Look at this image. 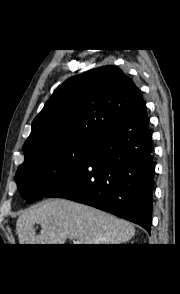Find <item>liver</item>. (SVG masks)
<instances>
[{"mask_svg": "<svg viewBox=\"0 0 180 294\" xmlns=\"http://www.w3.org/2000/svg\"><path fill=\"white\" fill-rule=\"evenodd\" d=\"M41 225L36 234L34 225ZM16 230L19 244H122L135 235L134 226L109 213L66 199L47 200L24 211Z\"/></svg>", "mask_w": 180, "mask_h": 294, "instance_id": "1", "label": "liver"}]
</instances>
